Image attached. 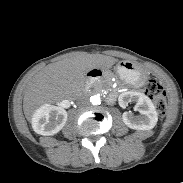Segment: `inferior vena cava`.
Here are the masks:
<instances>
[{"label":"inferior vena cava","instance_id":"obj_1","mask_svg":"<svg viewBox=\"0 0 183 183\" xmlns=\"http://www.w3.org/2000/svg\"><path fill=\"white\" fill-rule=\"evenodd\" d=\"M89 103V98L87 96H80L77 99V104L78 105H87Z\"/></svg>","mask_w":183,"mask_h":183}]
</instances>
